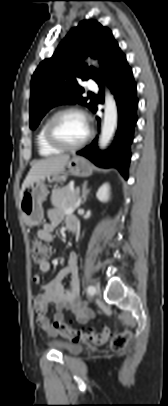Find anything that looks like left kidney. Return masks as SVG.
<instances>
[{"label": "left kidney", "instance_id": "1", "mask_svg": "<svg viewBox=\"0 0 168 406\" xmlns=\"http://www.w3.org/2000/svg\"><path fill=\"white\" fill-rule=\"evenodd\" d=\"M97 198L101 202H107L110 198V186L108 183H104L97 191Z\"/></svg>", "mask_w": 168, "mask_h": 406}]
</instances>
